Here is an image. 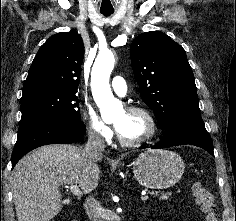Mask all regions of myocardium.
<instances>
[{
  "label": "myocardium",
  "mask_w": 236,
  "mask_h": 221,
  "mask_svg": "<svg viewBox=\"0 0 236 221\" xmlns=\"http://www.w3.org/2000/svg\"><path fill=\"white\" fill-rule=\"evenodd\" d=\"M125 111L129 112V113H139L145 116V118L148 120L149 123V131L148 133L137 140H126L124 138H122V136L119 134L118 130H117V139L119 141V143L123 146L126 147H138V146H142L148 142H150L157 134L158 132V123L157 120L154 116V114L146 107L143 106H128Z\"/></svg>",
  "instance_id": "f54148a6"
}]
</instances>
